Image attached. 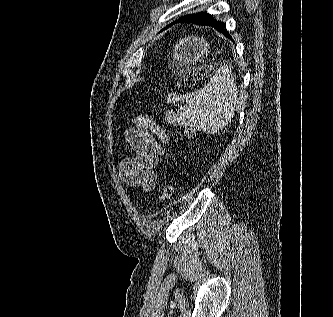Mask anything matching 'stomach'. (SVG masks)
I'll return each mask as SVG.
<instances>
[{"label":"stomach","instance_id":"1","mask_svg":"<svg viewBox=\"0 0 333 317\" xmlns=\"http://www.w3.org/2000/svg\"><path fill=\"white\" fill-rule=\"evenodd\" d=\"M207 45L203 38L198 37L184 38L175 45L174 66L179 70L177 75L181 76L180 88H201V82H231L211 81V74H218L212 70L222 69V62L204 63Z\"/></svg>","mask_w":333,"mask_h":317}]
</instances>
